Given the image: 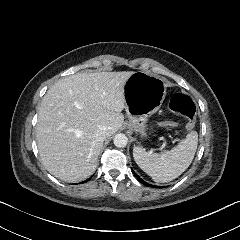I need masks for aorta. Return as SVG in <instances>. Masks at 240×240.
Wrapping results in <instances>:
<instances>
[{"label": "aorta", "mask_w": 240, "mask_h": 240, "mask_svg": "<svg viewBox=\"0 0 240 240\" xmlns=\"http://www.w3.org/2000/svg\"><path fill=\"white\" fill-rule=\"evenodd\" d=\"M128 139L127 136L123 133H118L114 138H113V143L115 146L118 148L124 147L127 145Z\"/></svg>", "instance_id": "762f6f07"}]
</instances>
